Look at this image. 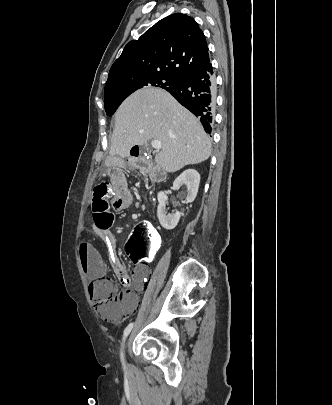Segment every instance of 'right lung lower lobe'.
Returning <instances> with one entry per match:
<instances>
[{
    "label": "right lung lower lobe",
    "mask_w": 332,
    "mask_h": 405,
    "mask_svg": "<svg viewBox=\"0 0 332 405\" xmlns=\"http://www.w3.org/2000/svg\"><path fill=\"white\" fill-rule=\"evenodd\" d=\"M215 78L210 62L184 74L179 83L167 91L179 103L199 116L207 133L212 131V119L215 107Z\"/></svg>",
    "instance_id": "right-lung-lower-lobe-1"
}]
</instances>
